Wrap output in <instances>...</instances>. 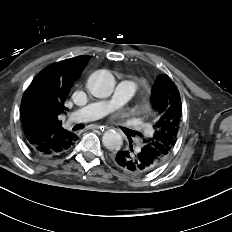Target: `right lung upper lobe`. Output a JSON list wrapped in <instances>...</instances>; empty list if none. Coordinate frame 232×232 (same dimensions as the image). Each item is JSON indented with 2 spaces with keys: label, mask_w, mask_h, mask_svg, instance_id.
Returning a JSON list of instances; mask_svg holds the SVG:
<instances>
[{
  "label": "right lung upper lobe",
  "mask_w": 232,
  "mask_h": 232,
  "mask_svg": "<svg viewBox=\"0 0 232 232\" xmlns=\"http://www.w3.org/2000/svg\"><path fill=\"white\" fill-rule=\"evenodd\" d=\"M90 56H78L52 64L31 82L21 102V119H30L39 130L38 143L51 134L65 130L59 116L68 109L64 103L70 88L82 72Z\"/></svg>",
  "instance_id": "right-lung-upper-lobe-1"
}]
</instances>
